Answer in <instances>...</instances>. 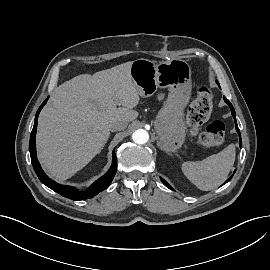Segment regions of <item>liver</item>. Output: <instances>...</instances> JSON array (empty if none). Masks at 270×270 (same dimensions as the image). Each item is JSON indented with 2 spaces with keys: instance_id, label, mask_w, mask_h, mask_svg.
I'll list each match as a JSON object with an SVG mask.
<instances>
[{
  "instance_id": "obj_1",
  "label": "liver",
  "mask_w": 270,
  "mask_h": 270,
  "mask_svg": "<svg viewBox=\"0 0 270 270\" xmlns=\"http://www.w3.org/2000/svg\"><path fill=\"white\" fill-rule=\"evenodd\" d=\"M131 65L129 61L93 75L81 74L55 89L39 116L36 136L38 159L51 177H72L101 152L114 122L138 117L134 108L140 94Z\"/></svg>"
}]
</instances>
